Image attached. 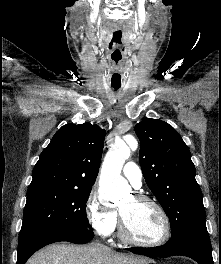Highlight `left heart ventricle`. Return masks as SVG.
<instances>
[{
    "label": "left heart ventricle",
    "instance_id": "1",
    "mask_svg": "<svg viewBox=\"0 0 221 264\" xmlns=\"http://www.w3.org/2000/svg\"><path fill=\"white\" fill-rule=\"evenodd\" d=\"M118 209L131 234L136 239L144 242H154L162 237L164 223L161 215L153 205L138 202L133 197H129Z\"/></svg>",
    "mask_w": 221,
    "mask_h": 264
}]
</instances>
